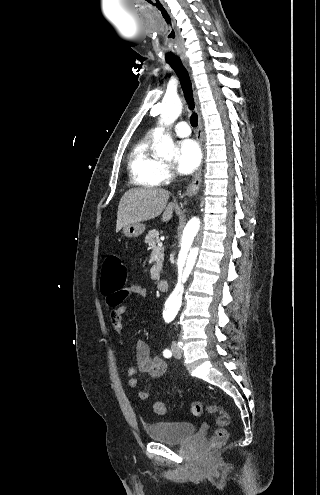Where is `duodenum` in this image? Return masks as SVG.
Instances as JSON below:
<instances>
[{"label": "duodenum", "instance_id": "duodenum-1", "mask_svg": "<svg viewBox=\"0 0 320 495\" xmlns=\"http://www.w3.org/2000/svg\"><path fill=\"white\" fill-rule=\"evenodd\" d=\"M157 287H158V289H159L160 291H162V292L167 291V290H168V288H169L168 281H166V280H159V281H158V284H157Z\"/></svg>", "mask_w": 320, "mask_h": 495}]
</instances>
